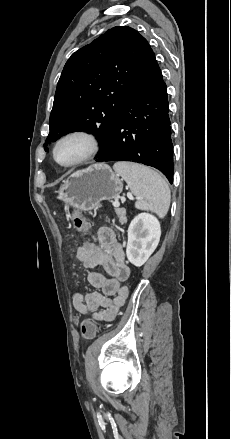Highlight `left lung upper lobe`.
Returning <instances> with one entry per match:
<instances>
[{
	"instance_id": "obj_1",
	"label": "left lung upper lobe",
	"mask_w": 231,
	"mask_h": 439,
	"mask_svg": "<svg viewBox=\"0 0 231 439\" xmlns=\"http://www.w3.org/2000/svg\"><path fill=\"white\" fill-rule=\"evenodd\" d=\"M153 51L136 30L117 26L77 50L57 84L50 133L44 144L73 131L93 132L100 151Z\"/></svg>"
}]
</instances>
